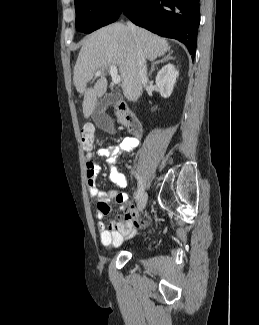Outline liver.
Listing matches in <instances>:
<instances>
[{"label": "liver", "instance_id": "liver-1", "mask_svg": "<svg viewBox=\"0 0 259 325\" xmlns=\"http://www.w3.org/2000/svg\"><path fill=\"white\" fill-rule=\"evenodd\" d=\"M136 29V34H133L128 26L116 22L85 39L74 67L73 82L76 90L84 95L82 107L86 119L94 112L98 98L107 90L105 69L111 65L119 68L124 96L136 101L142 94L136 68L137 51L140 50L146 59L153 61L170 50L166 39L146 29ZM98 70L102 72L100 79L94 87L87 88V83Z\"/></svg>", "mask_w": 259, "mask_h": 325}]
</instances>
